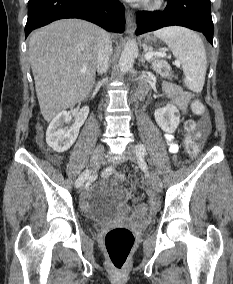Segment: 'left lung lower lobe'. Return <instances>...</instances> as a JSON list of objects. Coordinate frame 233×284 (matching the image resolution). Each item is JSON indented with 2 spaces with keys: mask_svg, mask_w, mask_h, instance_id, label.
Segmentation results:
<instances>
[{
  "mask_svg": "<svg viewBox=\"0 0 233 284\" xmlns=\"http://www.w3.org/2000/svg\"><path fill=\"white\" fill-rule=\"evenodd\" d=\"M172 25L184 26L202 32L212 44L213 22L210 0H168L163 11L139 12L136 34Z\"/></svg>",
  "mask_w": 233,
  "mask_h": 284,
  "instance_id": "left-lung-lower-lobe-1",
  "label": "left lung lower lobe"
}]
</instances>
